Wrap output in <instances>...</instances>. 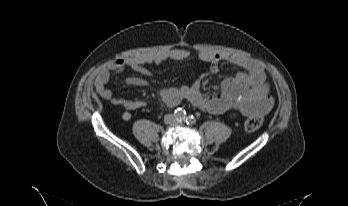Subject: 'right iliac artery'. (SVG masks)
<instances>
[{"mask_svg": "<svg viewBox=\"0 0 348 206\" xmlns=\"http://www.w3.org/2000/svg\"><path fill=\"white\" fill-rule=\"evenodd\" d=\"M174 115H175L176 120L179 121V122L183 121L186 118L185 110L180 109V108L175 110Z\"/></svg>", "mask_w": 348, "mask_h": 206, "instance_id": "obj_1", "label": "right iliac artery"}]
</instances>
